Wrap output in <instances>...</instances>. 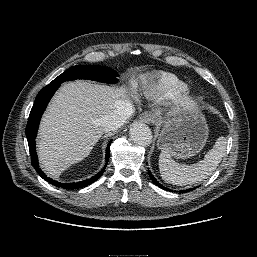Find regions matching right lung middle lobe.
Wrapping results in <instances>:
<instances>
[{
  "label": "right lung middle lobe",
  "instance_id": "1",
  "mask_svg": "<svg viewBox=\"0 0 257 257\" xmlns=\"http://www.w3.org/2000/svg\"><path fill=\"white\" fill-rule=\"evenodd\" d=\"M118 73L110 68L93 65H77L66 70L55 78L51 84H60L75 79H88L98 82L114 84L118 82Z\"/></svg>",
  "mask_w": 257,
  "mask_h": 257
}]
</instances>
